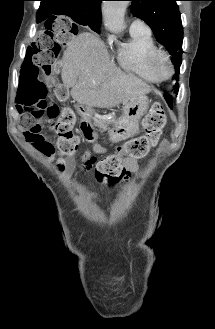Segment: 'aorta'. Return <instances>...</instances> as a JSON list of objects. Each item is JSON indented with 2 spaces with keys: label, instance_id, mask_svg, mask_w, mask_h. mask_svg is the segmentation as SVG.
Wrapping results in <instances>:
<instances>
[{
  "label": "aorta",
  "instance_id": "762f6f07",
  "mask_svg": "<svg viewBox=\"0 0 215 329\" xmlns=\"http://www.w3.org/2000/svg\"><path fill=\"white\" fill-rule=\"evenodd\" d=\"M126 6V1H104L103 3L104 25L113 33L118 34L125 29L124 14Z\"/></svg>",
  "mask_w": 215,
  "mask_h": 329
}]
</instances>
